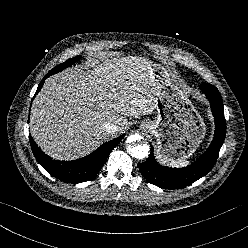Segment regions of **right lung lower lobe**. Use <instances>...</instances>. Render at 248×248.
Masks as SVG:
<instances>
[{
    "instance_id": "obj_1",
    "label": "right lung lower lobe",
    "mask_w": 248,
    "mask_h": 248,
    "mask_svg": "<svg viewBox=\"0 0 248 248\" xmlns=\"http://www.w3.org/2000/svg\"><path fill=\"white\" fill-rule=\"evenodd\" d=\"M52 74L54 73L51 71L46 74L39 84L36 94L41 90L45 79ZM123 137L124 135L102 144L94 152L81 159L74 161H58L53 160L51 157L47 156L43 151H41V149L38 148L35 144L32 137L29 136L33 154L39 164L50 175L61 181L72 184H77L93 179L104 165L110 152L120 143Z\"/></svg>"
}]
</instances>
